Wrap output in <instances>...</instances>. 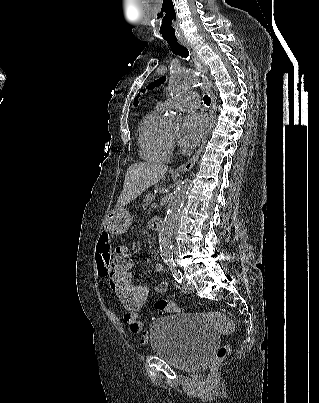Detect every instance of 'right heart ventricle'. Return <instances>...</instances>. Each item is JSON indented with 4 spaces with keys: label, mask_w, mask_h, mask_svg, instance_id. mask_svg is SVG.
<instances>
[{
    "label": "right heart ventricle",
    "mask_w": 319,
    "mask_h": 403,
    "mask_svg": "<svg viewBox=\"0 0 319 403\" xmlns=\"http://www.w3.org/2000/svg\"><path fill=\"white\" fill-rule=\"evenodd\" d=\"M163 108L158 105L146 113L138 127V143L140 156L150 162L166 161L170 155V145L166 132L160 126Z\"/></svg>",
    "instance_id": "obj_1"
}]
</instances>
